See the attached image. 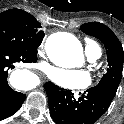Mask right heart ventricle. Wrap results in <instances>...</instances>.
Instances as JSON below:
<instances>
[{"mask_svg":"<svg viewBox=\"0 0 124 124\" xmlns=\"http://www.w3.org/2000/svg\"><path fill=\"white\" fill-rule=\"evenodd\" d=\"M85 51L88 56L91 55H101V49L98 44L92 39H85Z\"/></svg>","mask_w":124,"mask_h":124,"instance_id":"right-heart-ventricle-1","label":"right heart ventricle"}]
</instances>
